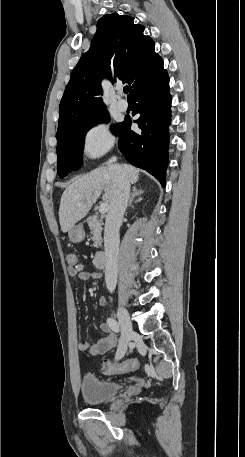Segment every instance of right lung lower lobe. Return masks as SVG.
<instances>
[{
  "label": "right lung lower lobe",
  "mask_w": 245,
  "mask_h": 457,
  "mask_svg": "<svg viewBox=\"0 0 245 457\" xmlns=\"http://www.w3.org/2000/svg\"><path fill=\"white\" fill-rule=\"evenodd\" d=\"M135 102L132 115L140 114L137 120L140 131H131V117L120 123L118 146L125 158L134 166L156 177L165 186L168 164V144L171 116V95L166 70L138 83L130 92Z\"/></svg>",
  "instance_id": "1"
}]
</instances>
